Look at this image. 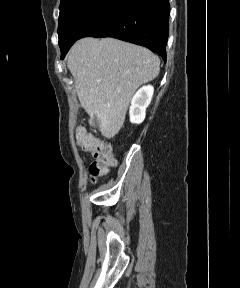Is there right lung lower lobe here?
<instances>
[{"mask_svg": "<svg viewBox=\"0 0 240 288\" xmlns=\"http://www.w3.org/2000/svg\"><path fill=\"white\" fill-rule=\"evenodd\" d=\"M169 12L168 0H114L80 38H117L144 46L166 61ZM69 49L61 51L62 59Z\"/></svg>", "mask_w": 240, "mask_h": 288, "instance_id": "1", "label": "right lung lower lobe"}]
</instances>
